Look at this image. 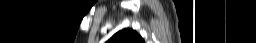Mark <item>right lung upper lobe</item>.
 I'll list each match as a JSON object with an SVG mask.
<instances>
[{
    "instance_id": "right-lung-upper-lobe-1",
    "label": "right lung upper lobe",
    "mask_w": 256,
    "mask_h": 43,
    "mask_svg": "<svg viewBox=\"0 0 256 43\" xmlns=\"http://www.w3.org/2000/svg\"><path fill=\"white\" fill-rule=\"evenodd\" d=\"M107 43H145L142 37L132 29H123L114 34Z\"/></svg>"
}]
</instances>
